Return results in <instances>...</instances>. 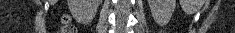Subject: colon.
Masks as SVG:
<instances>
[{
  "label": "colon",
  "mask_w": 235,
  "mask_h": 33,
  "mask_svg": "<svg viewBox=\"0 0 235 33\" xmlns=\"http://www.w3.org/2000/svg\"><path fill=\"white\" fill-rule=\"evenodd\" d=\"M75 29L68 23V18H64V26L62 27V33H74Z\"/></svg>",
  "instance_id": "5ec220e1"
}]
</instances>
